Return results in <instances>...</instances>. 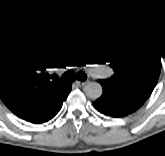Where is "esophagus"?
<instances>
[{"label": "esophagus", "mask_w": 165, "mask_h": 156, "mask_svg": "<svg viewBox=\"0 0 165 156\" xmlns=\"http://www.w3.org/2000/svg\"><path fill=\"white\" fill-rule=\"evenodd\" d=\"M87 82H83V81H75L74 82V86H77V87H81V86H83V85H85Z\"/></svg>", "instance_id": "obj_1"}]
</instances>
